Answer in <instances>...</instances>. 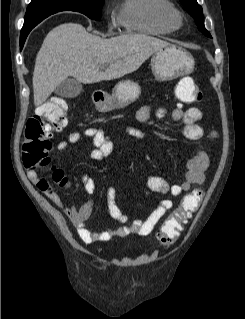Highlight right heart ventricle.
<instances>
[{"label":"right heart ventricle","instance_id":"obj_1","mask_svg":"<svg viewBox=\"0 0 245 319\" xmlns=\"http://www.w3.org/2000/svg\"><path fill=\"white\" fill-rule=\"evenodd\" d=\"M169 0H123L118 22L127 31L150 35H166L175 27L168 18Z\"/></svg>","mask_w":245,"mask_h":319}]
</instances>
